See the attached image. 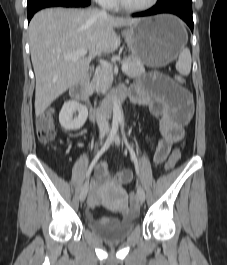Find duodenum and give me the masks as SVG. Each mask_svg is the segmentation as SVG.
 <instances>
[{
  "label": "duodenum",
  "instance_id": "obj_1",
  "mask_svg": "<svg viewBox=\"0 0 227 265\" xmlns=\"http://www.w3.org/2000/svg\"><path fill=\"white\" fill-rule=\"evenodd\" d=\"M88 80V76L84 75L71 86L70 93L75 99L88 102ZM126 94V90L120 88L117 92V100L122 102L125 99ZM91 113L94 119L104 118L110 115L111 108L109 105H105L97 109H92Z\"/></svg>",
  "mask_w": 227,
  "mask_h": 265
}]
</instances>
